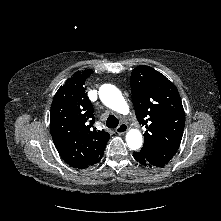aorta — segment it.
Instances as JSON below:
<instances>
[{
    "mask_svg": "<svg viewBox=\"0 0 221 221\" xmlns=\"http://www.w3.org/2000/svg\"><path fill=\"white\" fill-rule=\"evenodd\" d=\"M99 97L101 101L110 109L126 114L128 112V104L125 101L121 91L111 84H104L99 89ZM126 142L130 149L137 150L142 146V135L137 129H131L126 135Z\"/></svg>",
    "mask_w": 221,
    "mask_h": 221,
    "instance_id": "1",
    "label": "aorta"
}]
</instances>
